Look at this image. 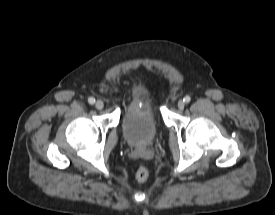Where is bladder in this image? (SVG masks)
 Instances as JSON below:
<instances>
[{"label":"bladder","mask_w":275,"mask_h":215,"mask_svg":"<svg viewBox=\"0 0 275 215\" xmlns=\"http://www.w3.org/2000/svg\"><path fill=\"white\" fill-rule=\"evenodd\" d=\"M133 93L137 102L123 116L122 135L131 145H148L155 139L160 121L147 89L136 86Z\"/></svg>","instance_id":"obj_1"}]
</instances>
